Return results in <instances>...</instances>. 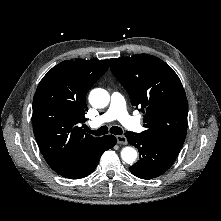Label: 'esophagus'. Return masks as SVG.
I'll return each instance as SVG.
<instances>
[{
  "mask_svg": "<svg viewBox=\"0 0 221 221\" xmlns=\"http://www.w3.org/2000/svg\"><path fill=\"white\" fill-rule=\"evenodd\" d=\"M116 139L119 144H123V145L127 144V139L124 135H118Z\"/></svg>",
  "mask_w": 221,
  "mask_h": 221,
  "instance_id": "1",
  "label": "esophagus"
}]
</instances>
